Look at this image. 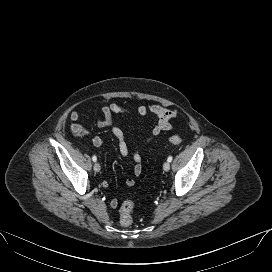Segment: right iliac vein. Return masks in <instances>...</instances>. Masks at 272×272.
<instances>
[{"instance_id":"63e3f726","label":"right iliac vein","mask_w":272,"mask_h":272,"mask_svg":"<svg viewBox=\"0 0 272 272\" xmlns=\"http://www.w3.org/2000/svg\"><path fill=\"white\" fill-rule=\"evenodd\" d=\"M93 168H94V171H95V172H99V171H100V164L96 162V163L94 164Z\"/></svg>"}]
</instances>
